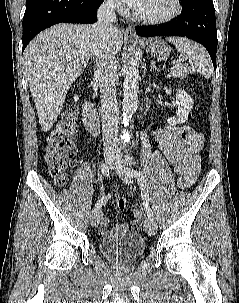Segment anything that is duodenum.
<instances>
[{
	"instance_id": "410a0bca",
	"label": "duodenum",
	"mask_w": 239,
	"mask_h": 303,
	"mask_svg": "<svg viewBox=\"0 0 239 303\" xmlns=\"http://www.w3.org/2000/svg\"><path fill=\"white\" fill-rule=\"evenodd\" d=\"M82 119L89 132L95 135L100 132V118L89 100L83 103Z\"/></svg>"
}]
</instances>
